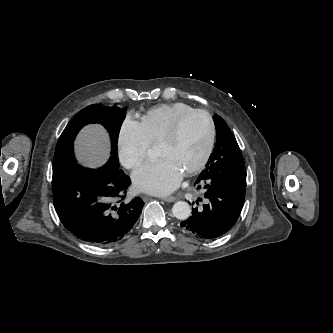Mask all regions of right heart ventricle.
I'll return each instance as SVG.
<instances>
[{"label":"right heart ventricle","instance_id":"1","mask_svg":"<svg viewBox=\"0 0 333 333\" xmlns=\"http://www.w3.org/2000/svg\"><path fill=\"white\" fill-rule=\"evenodd\" d=\"M194 109L188 104L177 102L153 107L141 116V124L151 143H159L172 123L183 113Z\"/></svg>","mask_w":333,"mask_h":333}]
</instances>
